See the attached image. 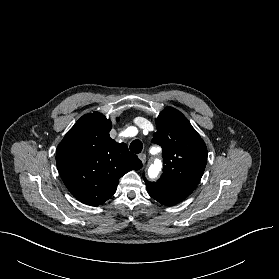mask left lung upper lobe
<instances>
[{
    "label": "left lung upper lobe",
    "mask_w": 279,
    "mask_h": 279,
    "mask_svg": "<svg viewBox=\"0 0 279 279\" xmlns=\"http://www.w3.org/2000/svg\"><path fill=\"white\" fill-rule=\"evenodd\" d=\"M153 142L163 149V174L145 183L149 195L162 205H175L187 198L199 183L207 160V147L186 117L167 107L156 119Z\"/></svg>",
    "instance_id": "5c2ea615"
}]
</instances>
